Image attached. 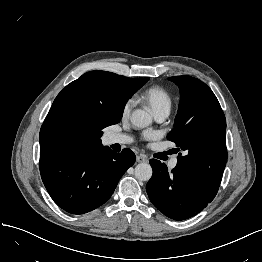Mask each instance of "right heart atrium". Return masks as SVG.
Instances as JSON below:
<instances>
[{
	"instance_id": "right-heart-atrium-1",
	"label": "right heart atrium",
	"mask_w": 262,
	"mask_h": 262,
	"mask_svg": "<svg viewBox=\"0 0 262 262\" xmlns=\"http://www.w3.org/2000/svg\"><path fill=\"white\" fill-rule=\"evenodd\" d=\"M133 104H134L133 99H128V100L124 103V105H123V107H122V115H123V117H126V116L129 115V113H130V111H131V109H132V107H133Z\"/></svg>"
}]
</instances>
